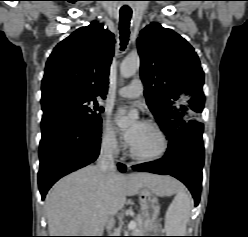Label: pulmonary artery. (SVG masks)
Wrapping results in <instances>:
<instances>
[{"mask_svg": "<svg viewBox=\"0 0 248 237\" xmlns=\"http://www.w3.org/2000/svg\"><path fill=\"white\" fill-rule=\"evenodd\" d=\"M117 93L124 98H138L143 93L142 81L140 79H134L129 85L120 88Z\"/></svg>", "mask_w": 248, "mask_h": 237, "instance_id": "pulmonary-artery-1", "label": "pulmonary artery"}]
</instances>
